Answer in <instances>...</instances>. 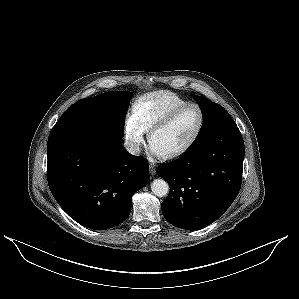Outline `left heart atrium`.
<instances>
[{"label": "left heart atrium", "instance_id": "obj_1", "mask_svg": "<svg viewBox=\"0 0 299 299\" xmlns=\"http://www.w3.org/2000/svg\"><path fill=\"white\" fill-rule=\"evenodd\" d=\"M150 151L157 156L163 155L152 143H150Z\"/></svg>", "mask_w": 299, "mask_h": 299}]
</instances>
